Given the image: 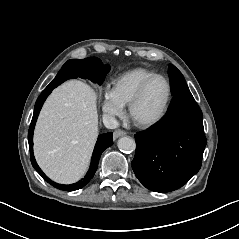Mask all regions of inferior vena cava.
<instances>
[{"instance_id":"1","label":"inferior vena cava","mask_w":239,"mask_h":239,"mask_svg":"<svg viewBox=\"0 0 239 239\" xmlns=\"http://www.w3.org/2000/svg\"><path fill=\"white\" fill-rule=\"evenodd\" d=\"M102 120L104 126L108 129H116L119 127V123L114 116L105 114L103 115Z\"/></svg>"}]
</instances>
